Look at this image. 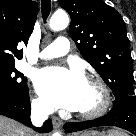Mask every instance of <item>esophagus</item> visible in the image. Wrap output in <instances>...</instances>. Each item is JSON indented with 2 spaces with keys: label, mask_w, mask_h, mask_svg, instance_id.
<instances>
[{
  "label": "esophagus",
  "mask_w": 136,
  "mask_h": 136,
  "mask_svg": "<svg viewBox=\"0 0 136 136\" xmlns=\"http://www.w3.org/2000/svg\"><path fill=\"white\" fill-rule=\"evenodd\" d=\"M52 123L55 129L60 128L63 124V122L58 117H55V116L52 117Z\"/></svg>",
  "instance_id": "obj_1"
}]
</instances>
